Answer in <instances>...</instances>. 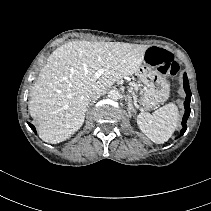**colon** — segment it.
<instances>
[{
	"instance_id": "5ec220e1",
	"label": "colon",
	"mask_w": 211,
	"mask_h": 211,
	"mask_svg": "<svg viewBox=\"0 0 211 211\" xmlns=\"http://www.w3.org/2000/svg\"><path fill=\"white\" fill-rule=\"evenodd\" d=\"M149 64L155 66L161 73L173 77L179 71V65L173 55L162 48L152 47L146 53Z\"/></svg>"
}]
</instances>
